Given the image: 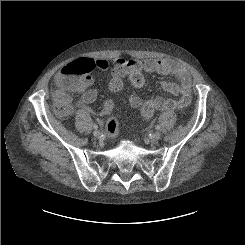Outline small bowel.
Masks as SVG:
<instances>
[{"label": "small bowel", "mask_w": 245, "mask_h": 245, "mask_svg": "<svg viewBox=\"0 0 245 245\" xmlns=\"http://www.w3.org/2000/svg\"><path fill=\"white\" fill-rule=\"evenodd\" d=\"M96 68L98 70L112 69V77L121 78L125 75H131L133 72L143 71L145 73L158 72L161 74L171 75L178 79V83L164 82L162 87L165 91L175 95L174 98H159L152 97L147 101L154 104L156 111H167L172 109H180L187 107L191 101L192 80L187 70L178 63L166 59H147L143 62L128 60L122 57H115L108 62L103 59L95 60ZM62 75V70L55 76V81ZM89 85L82 90L81 97L78 100V105H86L94 102L98 97V91L94 88H89ZM132 103L135 107L140 106L143 100L139 97H132ZM104 114V112H102ZM113 119V118H112Z\"/></svg>", "instance_id": "obj_1"}]
</instances>
